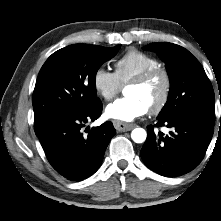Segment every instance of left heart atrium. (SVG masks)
Here are the masks:
<instances>
[{"instance_id": "obj_1", "label": "left heart atrium", "mask_w": 221, "mask_h": 221, "mask_svg": "<svg viewBox=\"0 0 221 221\" xmlns=\"http://www.w3.org/2000/svg\"><path fill=\"white\" fill-rule=\"evenodd\" d=\"M148 107L140 99L126 97L115 100L106 107V115L117 121L130 122L143 116Z\"/></svg>"}]
</instances>
